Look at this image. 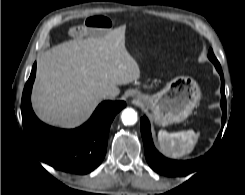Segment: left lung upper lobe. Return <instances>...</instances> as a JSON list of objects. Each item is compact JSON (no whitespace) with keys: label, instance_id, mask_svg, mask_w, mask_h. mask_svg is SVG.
I'll return each instance as SVG.
<instances>
[{"label":"left lung upper lobe","instance_id":"obj_1","mask_svg":"<svg viewBox=\"0 0 245 195\" xmlns=\"http://www.w3.org/2000/svg\"><path fill=\"white\" fill-rule=\"evenodd\" d=\"M208 58L213 62L214 65H218L220 66V63L218 62V60L216 59L212 49L209 50V53H208Z\"/></svg>","mask_w":245,"mask_h":195}]
</instances>
